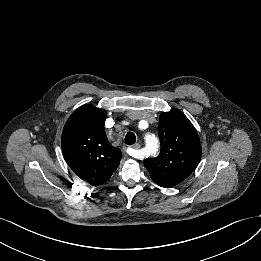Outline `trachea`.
Returning <instances> with one entry per match:
<instances>
[{"instance_id": "trachea-1", "label": "trachea", "mask_w": 261, "mask_h": 261, "mask_svg": "<svg viewBox=\"0 0 261 261\" xmlns=\"http://www.w3.org/2000/svg\"><path fill=\"white\" fill-rule=\"evenodd\" d=\"M136 142V136L133 132H128L125 136V143L127 145H133Z\"/></svg>"}]
</instances>
